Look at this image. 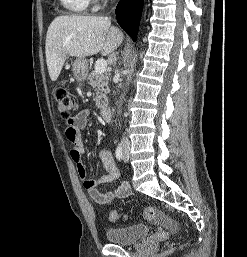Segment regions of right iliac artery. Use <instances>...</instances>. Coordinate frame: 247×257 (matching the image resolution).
<instances>
[{
	"label": "right iliac artery",
	"mask_w": 247,
	"mask_h": 257,
	"mask_svg": "<svg viewBox=\"0 0 247 257\" xmlns=\"http://www.w3.org/2000/svg\"><path fill=\"white\" fill-rule=\"evenodd\" d=\"M115 156L117 158V160H121L122 157H123V151H122V144H119L116 148V151H115Z\"/></svg>",
	"instance_id": "1"
}]
</instances>
